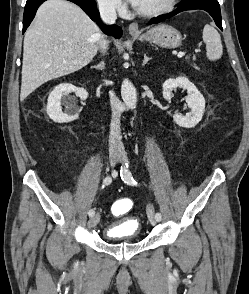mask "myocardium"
<instances>
[{
  "mask_svg": "<svg viewBox=\"0 0 249 294\" xmlns=\"http://www.w3.org/2000/svg\"><path fill=\"white\" fill-rule=\"evenodd\" d=\"M179 0H170L169 3L159 9H155V10H142L139 7H137L136 4H134V10L136 13H138L141 16L144 17H156V16H160L163 14H166L168 12H170L171 10H173V8L176 6V4L178 3Z\"/></svg>",
  "mask_w": 249,
  "mask_h": 294,
  "instance_id": "f54148a6",
  "label": "myocardium"
}]
</instances>
